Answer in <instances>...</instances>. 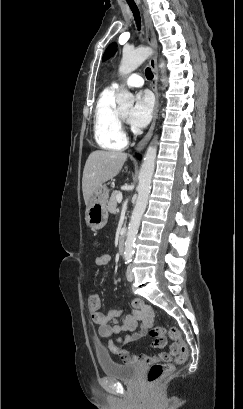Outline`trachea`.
Masks as SVG:
<instances>
[{
    "mask_svg": "<svg viewBox=\"0 0 243 409\" xmlns=\"http://www.w3.org/2000/svg\"><path fill=\"white\" fill-rule=\"evenodd\" d=\"M127 2L129 4L132 12H133L134 17H135V22L137 24V28H138V30H140L141 20H140L139 10H138V8H137V6H136V4L134 2L128 1V0H127ZM145 75H146V78L148 80L153 79V73L151 72L150 68H147L145 70Z\"/></svg>",
    "mask_w": 243,
    "mask_h": 409,
    "instance_id": "3493384b",
    "label": "trachea"
}]
</instances>
